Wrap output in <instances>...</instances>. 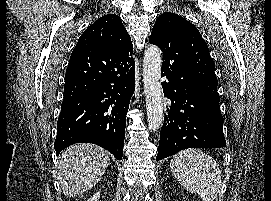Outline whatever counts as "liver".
<instances>
[{
  "instance_id": "obj_1",
  "label": "liver",
  "mask_w": 271,
  "mask_h": 201,
  "mask_svg": "<svg viewBox=\"0 0 271 201\" xmlns=\"http://www.w3.org/2000/svg\"><path fill=\"white\" fill-rule=\"evenodd\" d=\"M110 162L109 153L94 144H75L61 155L57 179L66 197H75L96 185Z\"/></svg>"
}]
</instances>
